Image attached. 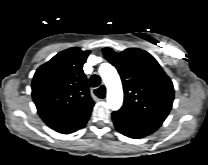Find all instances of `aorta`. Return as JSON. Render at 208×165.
I'll use <instances>...</instances> for the list:
<instances>
[{"label":"aorta","mask_w":208,"mask_h":165,"mask_svg":"<svg viewBox=\"0 0 208 165\" xmlns=\"http://www.w3.org/2000/svg\"><path fill=\"white\" fill-rule=\"evenodd\" d=\"M99 73L107 88V103L111 110H118L123 102V89L117 70L108 63L102 64Z\"/></svg>","instance_id":"1"}]
</instances>
